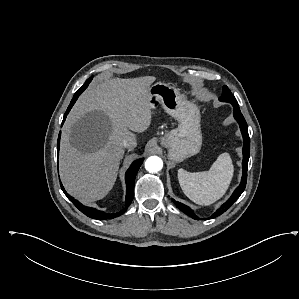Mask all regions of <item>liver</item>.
Here are the masks:
<instances>
[{
	"instance_id": "obj_1",
	"label": "liver",
	"mask_w": 299,
	"mask_h": 299,
	"mask_svg": "<svg viewBox=\"0 0 299 299\" xmlns=\"http://www.w3.org/2000/svg\"><path fill=\"white\" fill-rule=\"evenodd\" d=\"M155 80L105 79L92 84L71 110L61 138L60 177L66 191L82 203L100 200L112 189L129 130L141 133L149 128V89Z\"/></svg>"
}]
</instances>
